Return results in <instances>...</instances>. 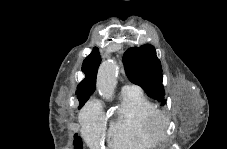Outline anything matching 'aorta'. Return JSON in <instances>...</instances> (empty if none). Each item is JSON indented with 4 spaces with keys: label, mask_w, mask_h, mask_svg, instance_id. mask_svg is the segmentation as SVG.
Instances as JSON below:
<instances>
[{
    "label": "aorta",
    "mask_w": 227,
    "mask_h": 149,
    "mask_svg": "<svg viewBox=\"0 0 227 149\" xmlns=\"http://www.w3.org/2000/svg\"><path fill=\"white\" fill-rule=\"evenodd\" d=\"M118 65L115 61L104 62L98 71L97 89L100 95L106 100H112L116 87Z\"/></svg>",
    "instance_id": "1"
}]
</instances>
